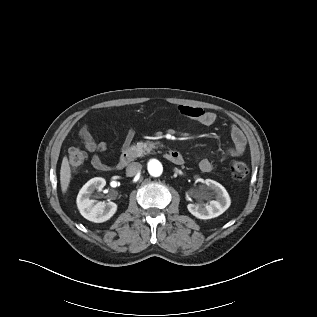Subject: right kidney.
Wrapping results in <instances>:
<instances>
[{"mask_svg":"<svg viewBox=\"0 0 317 317\" xmlns=\"http://www.w3.org/2000/svg\"><path fill=\"white\" fill-rule=\"evenodd\" d=\"M106 185L104 178L95 177L90 179L79 191L77 207L81 215L89 221L102 223L109 220L117 211L114 202H96L91 199L95 190H101Z\"/></svg>","mask_w":317,"mask_h":317,"instance_id":"ca27d5eb","label":"right kidney"}]
</instances>
